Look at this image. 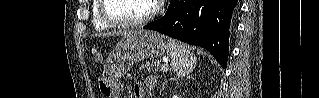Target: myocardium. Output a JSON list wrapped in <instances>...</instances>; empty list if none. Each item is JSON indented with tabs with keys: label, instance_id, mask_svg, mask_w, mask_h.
<instances>
[{
	"label": "myocardium",
	"instance_id": "f54148a6",
	"mask_svg": "<svg viewBox=\"0 0 319 98\" xmlns=\"http://www.w3.org/2000/svg\"><path fill=\"white\" fill-rule=\"evenodd\" d=\"M108 0H100V8H99V14L102 20L109 24L110 26L113 27H121V28H138L141 27L148 22H150L155 15L158 13L160 4L158 1L151 0L152 1V6L151 10L142 18L138 20H132V21H127V20H120V19H115L109 16L105 10L106 8V2Z\"/></svg>",
	"mask_w": 319,
	"mask_h": 98
}]
</instances>
